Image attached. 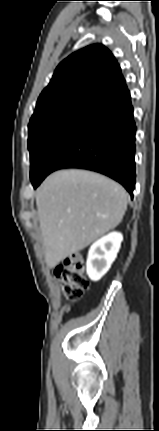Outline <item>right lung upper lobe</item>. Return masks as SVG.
<instances>
[{"label": "right lung upper lobe", "instance_id": "obj_1", "mask_svg": "<svg viewBox=\"0 0 159 431\" xmlns=\"http://www.w3.org/2000/svg\"><path fill=\"white\" fill-rule=\"evenodd\" d=\"M130 98L120 66L101 44L64 59L40 94L30 122L52 114L89 118Z\"/></svg>", "mask_w": 159, "mask_h": 431}]
</instances>
